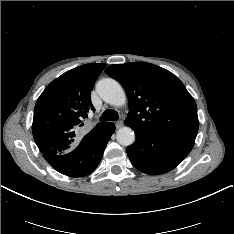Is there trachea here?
Listing matches in <instances>:
<instances>
[{
  "mask_svg": "<svg viewBox=\"0 0 234 234\" xmlns=\"http://www.w3.org/2000/svg\"><path fill=\"white\" fill-rule=\"evenodd\" d=\"M119 118L118 113L115 110L107 109L102 113V121H117Z\"/></svg>",
  "mask_w": 234,
  "mask_h": 234,
  "instance_id": "obj_1",
  "label": "trachea"
}]
</instances>
